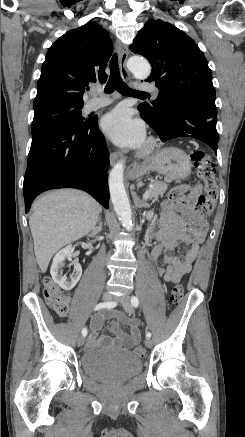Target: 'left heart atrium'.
Masks as SVG:
<instances>
[{
  "label": "left heart atrium",
  "mask_w": 245,
  "mask_h": 437,
  "mask_svg": "<svg viewBox=\"0 0 245 437\" xmlns=\"http://www.w3.org/2000/svg\"><path fill=\"white\" fill-rule=\"evenodd\" d=\"M101 127L105 135L120 146H138L144 137L142 124L132 118L126 107H118L105 114Z\"/></svg>",
  "instance_id": "1"
}]
</instances>
